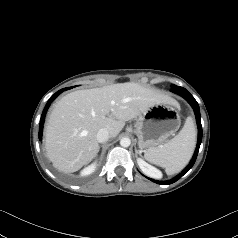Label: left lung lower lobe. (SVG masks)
I'll list each match as a JSON object with an SVG mask.
<instances>
[{"instance_id": "1", "label": "left lung lower lobe", "mask_w": 238, "mask_h": 238, "mask_svg": "<svg viewBox=\"0 0 238 238\" xmlns=\"http://www.w3.org/2000/svg\"><path fill=\"white\" fill-rule=\"evenodd\" d=\"M172 92L182 96L183 98H185L190 105L192 106V108L194 109L195 115H196V121H197V125H198V141H197V147L195 150V153L193 155L192 160L190 161L189 165L179 174L177 175L175 178L169 180V181H156L153 179L148 178L149 180L158 183V184H162V185H168L171 183H174L175 181L179 180L186 172H188L192 166L194 165L196 158H197V154L200 148V144L202 141V125H201V116H200V110H199V105L197 103V101L194 99V97L183 87H179V86H173L171 89Z\"/></svg>"}]
</instances>
